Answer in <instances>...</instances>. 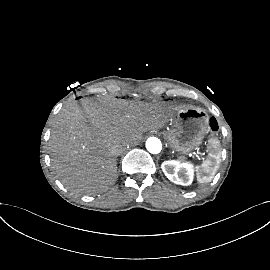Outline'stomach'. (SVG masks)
Masks as SVG:
<instances>
[{
	"label": "stomach",
	"instance_id": "stomach-1",
	"mask_svg": "<svg viewBox=\"0 0 270 270\" xmlns=\"http://www.w3.org/2000/svg\"><path fill=\"white\" fill-rule=\"evenodd\" d=\"M207 132L208 117L205 111L189 108L177 114L165 138L172 149L187 154L201 145Z\"/></svg>",
	"mask_w": 270,
	"mask_h": 270
}]
</instances>
